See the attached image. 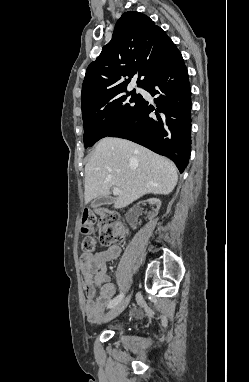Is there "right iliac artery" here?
Masks as SVG:
<instances>
[{"label": "right iliac artery", "instance_id": "1", "mask_svg": "<svg viewBox=\"0 0 249 382\" xmlns=\"http://www.w3.org/2000/svg\"><path fill=\"white\" fill-rule=\"evenodd\" d=\"M123 298V293L117 295L114 299H112L109 304L108 308H113L115 305H117Z\"/></svg>", "mask_w": 249, "mask_h": 382}]
</instances>
